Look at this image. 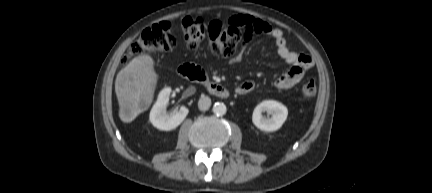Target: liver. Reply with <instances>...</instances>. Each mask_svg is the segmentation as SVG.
<instances>
[{
  "label": "liver",
  "instance_id": "6515ba94",
  "mask_svg": "<svg viewBox=\"0 0 432 193\" xmlns=\"http://www.w3.org/2000/svg\"><path fill=\"white\" fill-rule=\"evenodd\" d=\"M158 75L150 55L133 58L116 77L115 92L119 103V117L132 122L148 109L153 101Z\"/></svg>",
  "mask_w": 432,
  "mask_h": 193
}]
</instances>
